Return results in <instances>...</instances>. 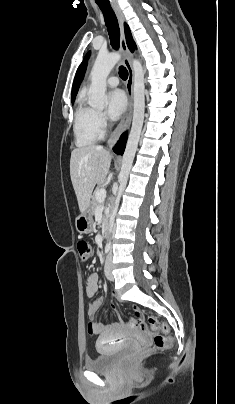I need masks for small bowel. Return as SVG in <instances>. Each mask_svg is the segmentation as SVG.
<instances>
[{
    "label": "small bowel",
    "mask_w": 235,
    "mask_h": 404,
    "mask_svg": "<svg viewBox=\"0 0 235 404\" xmlns=\"http://www.w3.org/2000/svg\"><path fill=\"white\" fill-rule=\"evenodd\" d=\"M99 289V276L96 273H92L89 275L87 279L86 285V293L89 297L94 296ZM105 299L104 297H99L93 302L89 303L87 306V314L89 318H94L100 307L103 305ZM114 305V303H112ZM131 329H137L133 326H130ZM89 330L98 336V347L99 344L109 342L112 340H118L121 336L128 333L129 327H127L124 323L117 322L113 324H103L92 322L89 325Z\"/></svg>",
    "instance_id": "1"
}]
</instances>
